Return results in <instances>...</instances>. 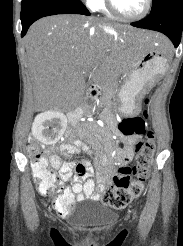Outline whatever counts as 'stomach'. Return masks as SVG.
Segmentation results:
<instances>
[{"mask_svg":"<svg viewBox=\"0 0 183 246\" xmlns=\"http://www.w3.org/2000/svg\"><path fill=\"white\" fill-rule=\"evenodd\" d=\"M132 45L135 49L134 61L129 66L125 84L119 92L120 110L126 115L139 113L143 96L152 82L167 69V58L160 55L154 43L132 42Z\"/></svg>","mask_w":183,"mask_h":246,"instance_id":"stomach-1","label":"stomach"}]
</instances>
